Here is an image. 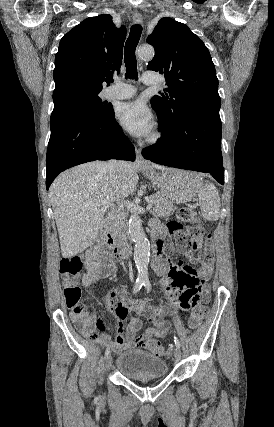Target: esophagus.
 <instances>
[{"label":"esophagus","mask_w":274,"mask_h":427,"mask_svg":"<svg viewBox=\"0 0 274 427\" xmlns=\"http://www.w3.org/2000/svg\"><path fill=\"white\" fill-rule=\"evenodd\" d=\"M143 21V17L140 14H134L133 15V22L136 24H140ZM136 165H138L139 167H148L149 166V162L148 160H145L142 157L141 151L139 149L136 148V159H135Z\"/></svg>","instance_id":"34e87169"}]
</instances>
